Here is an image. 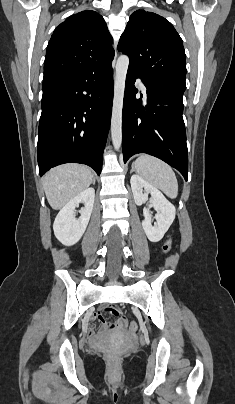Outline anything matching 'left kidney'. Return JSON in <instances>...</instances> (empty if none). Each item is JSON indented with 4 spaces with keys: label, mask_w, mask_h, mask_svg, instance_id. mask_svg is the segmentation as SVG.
<instances>
[{
    "label": "left kidney",
    "mask_w": 235,
    "mask_h": 404,
    "mask_svg": "<svg viewBox=\"0 0 235 404\" xmlns=\"http://www.w3.org/2000/svg\"><path fill=\"white\" fill-rule=\"evenodd\" d=\"M130 183L134 201L137 205L147 201L148 194L151 195V203L158 211V215L155 216L156 222L152 226V216L148 209L144 208L142 227L151 242H158L173 223L176 209L156 187L145 181L141 176L132 175Z\"/></svg>",
    "instance_id": "5707ae66"
}]
</instances>
